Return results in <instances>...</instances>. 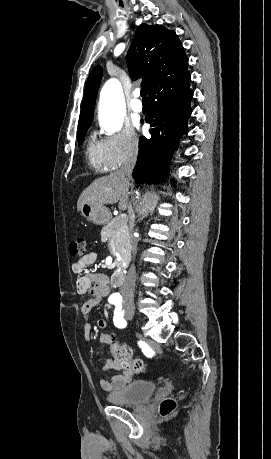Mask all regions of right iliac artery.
<instances>
[{
	"instance_id": "right-iliac-artery-1",
	"label": "right iliac artery",
	"mask_w": 271,
	"mask_h": 459,
	"mask_svg": "<svg viewBox=\"0 0 271 459\" xmlns=\"http://www.w3.org/2000/svg\"><path fill=\"white\" fill-rule=\"evenodd\" d=\"M109 302H110L111 304H119V300H116V299H114V298H112V297L109 298Z\"/></svg>"
}]
</instances>
